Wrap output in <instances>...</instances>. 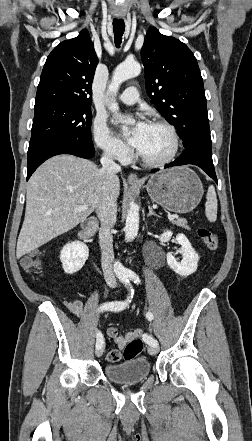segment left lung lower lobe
<instances>
[{
	"label": "left lung lower lobe",
	"instance_id": "obj_1",
	"mask_svg": "<svg viewBox=\"0 0 252 441\" xmlns=\"http://www.w3.org/2000/svg\"><path fill=\"white\" fill-rule=\"evenodd\" d=\"M187 164L199 166L217 183L212 161L211 143L197 142L188 146L174 162L167 164L164 168ZM153 171L155 172L157 170Z\"/></svg>",
	"mask_w": 252,
	"mask_h": 441
}]
</instances>
